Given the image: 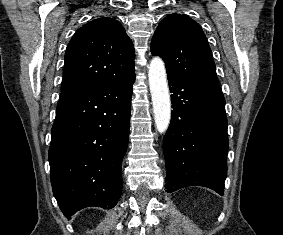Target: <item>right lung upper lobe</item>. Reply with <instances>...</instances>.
<instances>
[{"mask_svg":"<svg viewBox=\"0 0 283 235\" xmlns=\"http://www.w3.org/2000/svg\"><path fill=\"white\" fill-rule=\"evenodd\" d=\"M134 57L132 41L118 21L102 17L88 22L67 46L60 98L133 74Z\"/></svg>","mask_w":283,"mask_h":235,"instance_id":"cb5924a9","label":"right lung upper lobe"}]
</instances>
